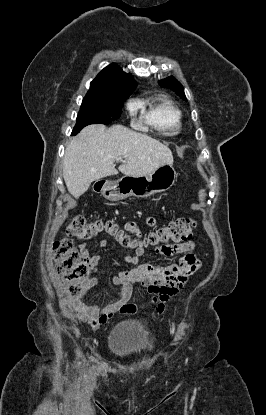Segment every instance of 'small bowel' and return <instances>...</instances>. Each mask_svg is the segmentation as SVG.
<instances>
[{
    "mask_svg": "<svg viewBox=\"0 0 266 415\" xmlns=\"http://www.w3.org/2000/svg\"><path fill=\"white\" fill-rule=\"evenodd\" d=\"M145 222L149 226H154L156 219L153 216H147ZM124 228L138 237L141 236L138 225L134 221L127 222ZM99 245L101 248H106L108 242L101 240ZM79 248L89 269L96 271L100 257L98 255L89 256L84 244H80ZM145 249V245L140 242L134 255L124 257V262L131 264V267L110 278V282L121 286V289L115 297L107 302L87 301L89 291L100 280L98 275L86 277L82 281L81 290L74 294L72 304L81 319L93 329L105 324L116 312L132 314L138 310L136 305L129 303L134 283L140 282L148 289L151 294L150 302L156 306L157 311H161L164 304L176 295L201 267L200 259L192 253L195 249V242L191 240L180 244L156 246L154 251L165 261L163 264L141 263ZM175 254H184V256L177 263H168V260Z\"/></svg>",
    "mask_w": 266,
    "mask_h": 415,
    "instance_id": "1",
    "label": "small bowel"
}]
</instances>
